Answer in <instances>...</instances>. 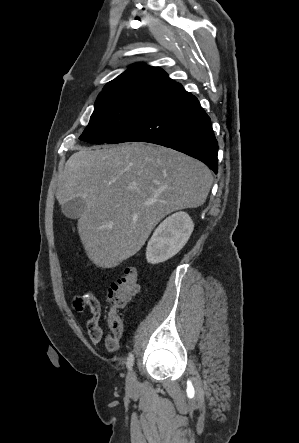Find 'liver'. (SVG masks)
Instances as JSON below:
<instances>
[{
    "instance_id": "6515ba94",
    "label": "liver",
    "mask_w": 299,
    "mask_h": 443,
    "mask_svg": "<svg viewBox=\"0 0 299 443\" xmlns=\"http://www.w3.org/2000/svg\"><path fill=\"white\" fill-rule=\"evenodd\" d=\"M212 183L199 160L133 142L80 148L65 164L56 198L60 205L85 199L77 224L81 242L96 266L113 268L135 255L166 215L204 204Z\"/></svg>"
}]
</instances>
